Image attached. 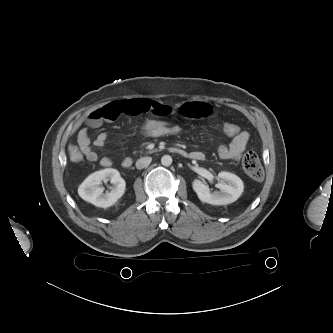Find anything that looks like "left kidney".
Wrapping results in <instances>:
<instances>
[{"mask_svg": "<svg viewBox=\"0 0 333 333\" xmlns=\"http://www.w3.org/2000/svg\"><path fill=\"white\" fill-rule=\"evenodd\" d=\"M218 178L221 180L217 184L219 191L214 192H211L202 181L194 180L192 186L198 198L212 205H227L235 202L244 190L243 181L229 172H220Z\"/></svg>", "mask_w": 333, "mask_h": 333, "instance_id": "1", "label": "left kidney"}]
</instances>
